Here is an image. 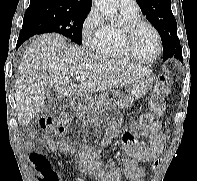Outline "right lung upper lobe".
Returning <instances> with one entry per match:
<instances>
[{"label":"right lung upper lobe","mask_w":197,"mask_h":181,"mask_svg":"<svg viewBox=\"0 0 197 181\" xmlns=\"http://www.w3.org/2000/svg\"><path fill=\"white\" fill-rule=\"evenodd\" d=\"M92 0H30L27 10L56 9L71 12L90 11Z\"/></svg>","instance_id":"cb5924a9"}]
</instances>
